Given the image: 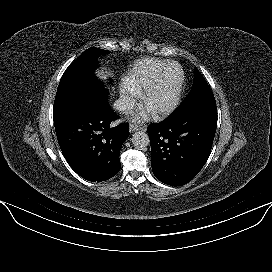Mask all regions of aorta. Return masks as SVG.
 I'll use <instances>...</instances> for the list:
<instances>
[{"label":"aorta","instance_id":"obj_1","mask_svg":"<svg viewBox=\"0 0 272 272\" xmlns=\"http://www.w3.org/2000/svg\"><path fill=\"white\" fill-rule=\"evenodd\" d=\"M132 143L136 148H145L149 145V137L148 134L143 131L135 132L132 135Z\"/></svg>","mask_w":272,"mask_h":272}]
</instances>
